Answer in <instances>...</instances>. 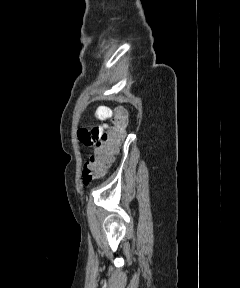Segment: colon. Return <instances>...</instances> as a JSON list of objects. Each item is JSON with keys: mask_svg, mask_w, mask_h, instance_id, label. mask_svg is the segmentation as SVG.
<instances>
[{"mask_svg": "<svg viewBox=\"0 0 240 288\" xmlns=\"http://www.w3.org/2000/svg\"><path fill=\"white\" fill-rule=\"evenodd\" d=\"M112 121V126L102 133L93 153L84 164L82 172L84 184H89L103 176L124 140L128 122L127 112L123 108H117Z\"/></svg>", "mask_w": 240, "mask_h": 288, "instance_id": "obj_1", "label": "colon"}]
</instances>
